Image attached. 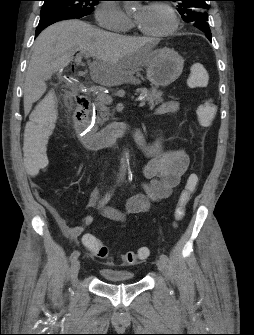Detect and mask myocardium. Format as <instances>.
<instances>
[{
	"mask_svg": "<svg viewBox=\"0 0 254 335\" xmlns=\"http://www.w3.org/2000/svg\"><path fill=\"white\" fill-rule=\"evenodd\" d=\"M153 6H157V7H162L163 9H165L169 15L171 16L172 19V24L170 26L169 29L160 32V33H149L146 32L145 30H143L137 23H136V27L139 30L140 33L149 36V37H154V38H166L168 36H171L179 27V17L175 11V9L167 3L164 2H155L154 4H152Z\"/></svg>",
	"mask_w": 254,
	"mask_h": 335,
	"instance_id": "1",
	"label": "myocardium"
}]
</instances>
